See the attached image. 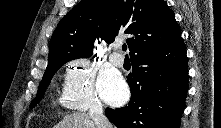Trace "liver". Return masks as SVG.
<instances>
[{"instance_id": "liver-1", "label": "liver", "mask_w": 221, "mask_h": 128, "mask_svg": "<svg viewBox=\"0 0 221 128\" xmlns=\"http://www.w3.org/2000/svg\"><path fill=\"white\" fill-rule=\"evenodd\" d=\"M54 128H97L89 114L75 112L66 115Z\"/></svg>"}]
</instances>
